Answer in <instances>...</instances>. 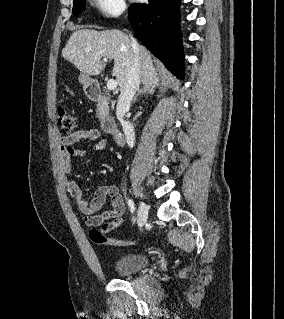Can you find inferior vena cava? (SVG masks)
Here are the masks:
<instances>
[{"label":"inferior vena cava","mask_w":284,"mask_h":319,"mask_svg":"<svg viewBox=\"0 0 284 319\" xmlns=\"http://www.w3.org/2000/svg\"><path fill=\"white\" fill-rule=\"evenodd\" d=\"M131 46L134 52V58L130 63L128 74L126 76L125 83L121 88V93L118 98L116 113L117 117L121 122L123 132L126 137V141L129 147H133L135 143V131L133 125L124 120L125 114L129 111L132 99L139 89L140 85V71H139V45L137 41L130 36Z\"/></svg>","instance_id":"1"}]
</instances>
